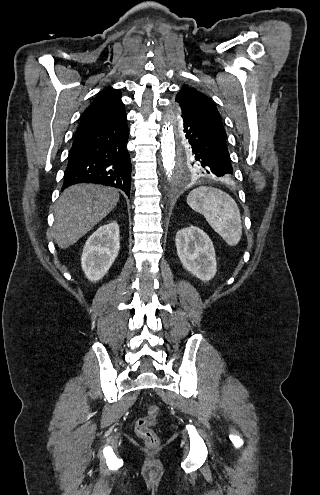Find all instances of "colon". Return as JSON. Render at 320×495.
<instances>
[{
  "instance_id": "colon-1",
  "label": "colon",
  "mask_w": 320,
  "mask_h": 495,
  "mask_svg": "<svg viewBox=\"0 0 320 495\" xmlns=\"http://www.w3.org/2000/svg\"><path fill=\"white\" fill-rule=\"evenodd\" d=\"M159 416V408L156 405H150L147 414L140 418L136 423V433L142 438L149 447H156L159 444V437L152 430Z\"/></svg>"
}]
</instances>
